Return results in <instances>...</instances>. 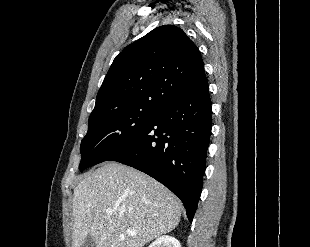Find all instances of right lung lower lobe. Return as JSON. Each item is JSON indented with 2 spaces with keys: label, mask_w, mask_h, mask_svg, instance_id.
<instances>
[{
  "label": "right lung lower lobe",
  "mask_w": 310,
  "mask_h": 247,
  "mask_svg": "<svg viewBox=\"0 0 310 247\" xmlns=\"http://www.w3.org/2000/svg\"><path fill=\"white\" fill-rule=\"evenodd\" d=\"M208 83L159 108L137 137L107 161L155 178L184 203L190 222L197 209L211 134Z\"/></svg>",
  "instance_id": "98d812e1"
}]
</instances>
